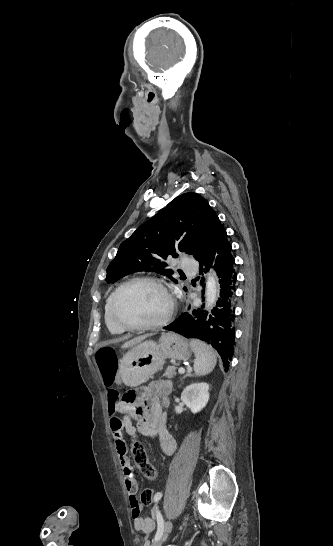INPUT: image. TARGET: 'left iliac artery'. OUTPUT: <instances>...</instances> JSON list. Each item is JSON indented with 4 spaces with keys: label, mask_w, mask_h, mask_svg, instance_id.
<instances>
[{
    "label": "left iliac artery",
    "mask_w": 333,
    "mask_h": 546,
    "mask_svg": "<svg viewBox=\"0 0 333 546\" xmlns=\"http://www.w3.org/2000/svg\"><path fill=\"white\" fill-rule=\"evenodd\" d=\"M158 521V528H157V532L155 534V537H154V541H157L160 539V537L162 536L163 532H164V520L162 519V517H159L157 519ZM169 525V524H167Z\"/></svg>",
    "instance_id": "44dca946"
}]
</instances>
